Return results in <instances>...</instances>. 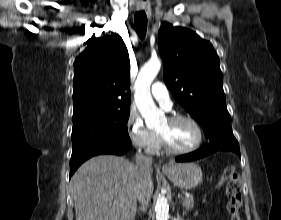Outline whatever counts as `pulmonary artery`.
<instances>
[{
	"instance_id": "pulmonary-artery-1",
	"label": "pulmonary artery",
	"mask_w": 281,
	"mask_h": 220,
	"mask_svg": "<svg viewBox=\"0 0 281 220\" xmlns=\"http://www.w3.org/2000/svg\"><path fill=\"white\" fill-rule=\"evenodd\" d=\"M154 99L166 110L172 106L169 91L162 82H155L151 87Z\"/></svg>"
}]
</instances>
